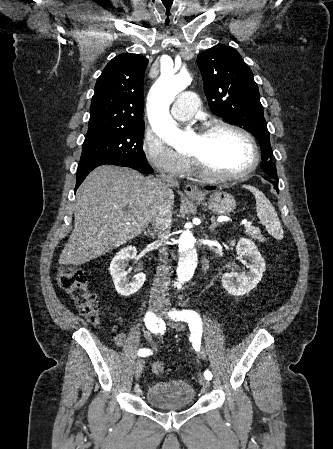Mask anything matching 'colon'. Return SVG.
<instances>
[{
  "label": "colon",
  "mask_w": 333,
  "mask_h": 449,
  "mask_svg": "<svg viewBox=\"0 0 333 449\" xmlns=\"http://www.w3.org/2000/svg\"><path fill=\"white\" fill-rule=\"evenodd\" d=\"M58 285L69 294L81 314L90 322L97 323L100 318V307L95 295L87 287L86 274L72 266H61L57 274ZM270 301L263 300L262 305L267 306ZM151 370L155 374H161L165 370L162 362H154Z\"/></svg>",
  "instance_id": "5ec220e1"
}]
</instances>
